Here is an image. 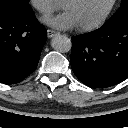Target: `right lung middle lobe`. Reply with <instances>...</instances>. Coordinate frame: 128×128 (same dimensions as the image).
Wrapping results in <instances>:
<instances>
[{
	"label": "right lung middle lobe",
	"mask_w": 128,
	"mask_h": 128,
	"mask_svg": "<svg viewBox=\"0 0 128 128\" xmlns=\"http://www.w3.org/2000/svg\"><path fill=\"white\" fill-rule=\"evenodd\" d=\"M29 0H0V10H30Z\"/></svg>",
	"instance_id": "dd1d6c3e"
}]
</instances>
